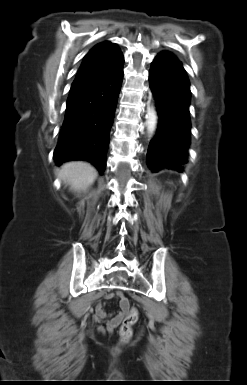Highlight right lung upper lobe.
Wrapping results in <instances>:
<instances>
[{
  "label": "right lung upper lobe",
  "instance_id": "1",
  "mask_svg": "<svg viewBox=\"0 0 247 385\" xmlns=\"http://www.w3.org/2000/svg\"><path fill=\"white\" fill-rule=\"evenodd\" d=\"M123 62V54L114 43L108 41L99 43L84 57L73 83L114 70Z\"/></svg>",
  "mask_w": 247,
  "mask_h": 385
}]
</instances>
